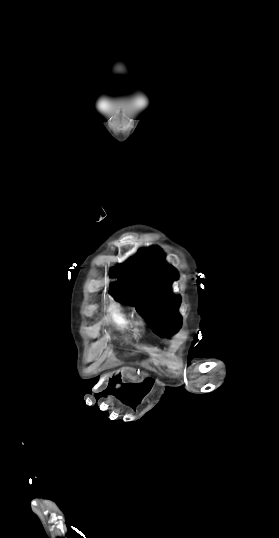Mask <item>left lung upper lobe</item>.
I'll return each instance as SVG.
<instances>
[{"instance_id":"obj_1","label":"left lung upper lobe","mask_w":279,"mask_h":538,"mask_svg":"<svg viewBox=\"0 0 279 538\" xmlns=\"http://www.w3.org/2000/svg\"><path fill=\"white\" fill-rule=\"evenodd\" d=\"M164 256L157 246L139 250L115 268L112 276L119 280L111 285V293L116 300L135 306L156 334L169 337L180 329L181 318L177 312L180 302L171 291L173 267Z\"/></svg>"}]
</instances>
